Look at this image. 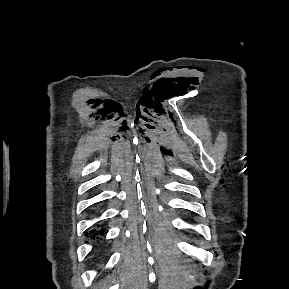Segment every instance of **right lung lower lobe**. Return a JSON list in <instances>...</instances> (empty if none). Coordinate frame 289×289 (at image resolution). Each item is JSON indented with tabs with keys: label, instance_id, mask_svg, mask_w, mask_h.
<instances>
[{
	"label": "right lung lower lobe",
	"instance_id": "98d812e1",
	"mask_svg": "<svg viewBox=\"0 0 289 289\" xmlns=\"http://www.w3.org/2000/svg\"><path fill=\"white\" fill-rule=\"evenodd\" d=\"M90 233H91V238L95 237V238L99 239V236L103 235V229L100 226H97Z\"/></svg>",
	"mask_w": 289,
	"mask_h": 289
}]
</instances>
